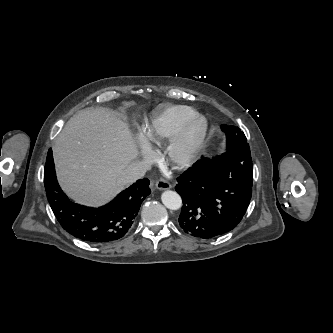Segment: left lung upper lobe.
Wrapping results in <instances>:
<instances>
[{
  "mask_svg": "<svg viewBox=\"0 0 333 333\" xmlns=\"http://www.w3.org/2000/svg\"><path fill=\"white\" fill-rule=\"evenodd\" d=\"M242 142H247V139L245 136H237V138L231 139L229 141V145L231 148L235 147L236 145L242 143Z\"/></svg>",
  "mask_w": 333,
  "mask_h": 333,
  "instance_id": "5c2ea615",
  "label": "left lung upper lobe"
}]
</instances>
